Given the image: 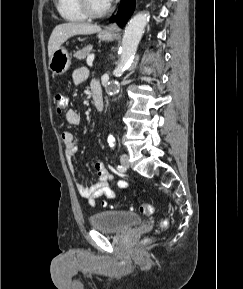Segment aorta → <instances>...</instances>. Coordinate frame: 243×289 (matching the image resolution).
<instances>
[{"instance_id":"obj_1","label":"aorta","mask_w":243,"mask_h":289,"mask_svg":"<svg viewBox=\"0 0 243 289\" xmlns=\"http://www.w3.org/2000/svg\"><path fill=\"white\" fill-rule=\"evenodd\" d=\"M148 21V13H138L128 23L122 39L121 58L114 70V75H120L131 64ZM108 143L111 147L114 146L113 136L108 137Z\"/></svg>"}]
</instances>
